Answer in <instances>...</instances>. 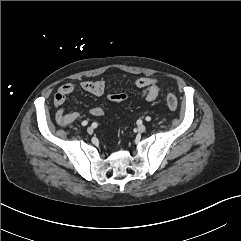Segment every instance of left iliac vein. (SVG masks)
Listing matches in <instances>:
<instances>
[{"label": "left iliac vein", "instance_id": "left-iliac-vein-1", "mask_svg": "<svg viewBox=\"0 0 241 241\" xmlns=\"http://www.w3.org/2000/svg\"><path fill=\"white\" fill-rule=\"evenodd\" d=\"M137 129H138L139 132L142 133V132H145V130H146V126L143 125V124H140V125H138Z\"/></svg>", "mask_w": 241, "mask_h": 241}]
</instances>
